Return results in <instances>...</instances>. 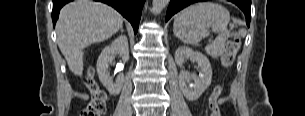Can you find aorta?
<instances>
[{"label":"aorta","mask_w":305,"mask_h":116,"mask_svg":"<svg viewBox=\"0 0 305 116\" xmlns=\"http://www.w3.org/2000/svg\"><path fill=\"white\" fill-rule=\"evenodd\" d=\"M169 0H153L154 13L158 14L168 5Z\"/></svg>","instance_id":"762f6f07"}]
</instances>
